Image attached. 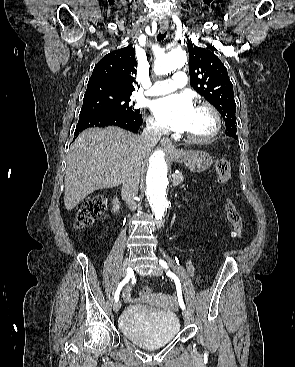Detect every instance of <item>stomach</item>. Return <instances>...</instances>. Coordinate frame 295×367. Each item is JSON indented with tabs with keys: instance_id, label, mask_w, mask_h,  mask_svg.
Masks as SVG:
<instances>
[{
	"instance_id": "0dacf381",
	"label": "stomach",
	"mask_w": 295,
	"mask_h": 367,
	"mask_svg": "<svg viewBox=\"0 0 295 367\" xmlns=\"http://www.w3.org/2000/svg\"><path fill=\"white\" fill-rule=\"evenodd\" d=\"M173 161L185 165L192 172H203L212 164L211 156L204 151L175 150L170 154Z\"/></svg>"
}]
</instances>
